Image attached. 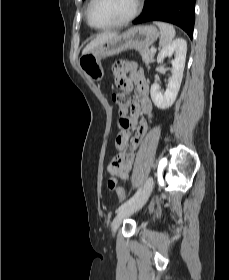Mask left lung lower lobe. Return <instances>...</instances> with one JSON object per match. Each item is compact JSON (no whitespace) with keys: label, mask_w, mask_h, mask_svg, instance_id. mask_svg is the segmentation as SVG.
<instances>
[{"label":"left lung lower lobe","mask_w":229,"mask_h":280,"mask_svg":"<svg viewBox=\"0 0 229 280\" xmlns=\"http://www.w3.org/2000/svg\"><path fill=\"white\" fill-rule=\"evenodd\" d=\"M196 0H146L143 13L133 21H165L182 28L190 38L193 36Z\"/></svg>","instance_id":"obj_1"}]
</instances>
